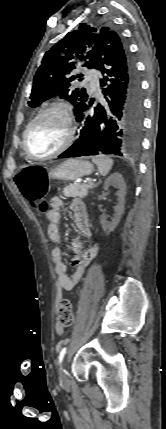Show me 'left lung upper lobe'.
<instances>
[{
  "label": "left lung upper lobe",
  "mask_w": 166,
  "mask_h": 429,
  "mask_svg": "<svg viewBox=\"0 0 166 429\" xmlns=\"http://www.w3.org/2000/svg\"><path fill=\"white\" fill-rule=\"evenodd\" d=\"M119 35L109 27L96 28L86 23L69 32L62 40L47 51L38 68L30 95V107H37L43 101L60 95L75 107L78 113L88 99L85 88L70 89L72 82L82 75L73 74L76 65L84 61L83 66L94 68L100 47Z\"/></svg>",
  "instance_id": "1"
}]
</instances>
